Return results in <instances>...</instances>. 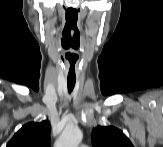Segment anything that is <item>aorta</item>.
I'll return each mask as SVG.
<instances>
[{
    "label": "aorta",
    "instance_id": "obj_1",
    "mask_svg": "<svg viewBox=\"0 0 163 147\" xmlns=\"http://www.w3.org/2000/svg\"><path fill=\"white\" fill-rule=\"evenodd\" d=\"M82 140V132L76 127H67L55 143V147H77Z\"/></svg>",
    "mask_w": 163,
    "mask_h": 147
}]
</instances>
